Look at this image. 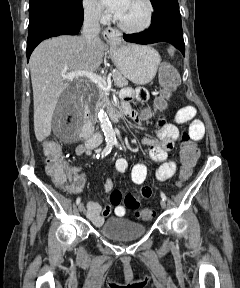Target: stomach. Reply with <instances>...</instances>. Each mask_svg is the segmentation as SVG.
Wrapping results in <instances>:
<instances>
[{
  "mask_svg": "<svg viewBox=\"0 0 240 288\" xmlns=\"http://www.w3.org/2000/svg\"><path fill=\"white\" fill-rule=\"evenodd\" d=\"M110 56L119 72L137 85L149 83L161 62L159 53L152 47L121 40L111 44Z\"/></svg>",
  "mask_w": 240,
  "mask_h": 288,
  "instance_id": "0dacf381",
  "label": "stomach"
}]
</instances>
